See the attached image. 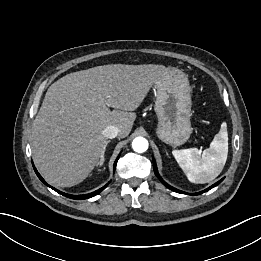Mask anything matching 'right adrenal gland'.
<instances>
[{
    "instance_id": "obj_1",
    "label": "right adrenal gland",
    "mask_w": 261,
    "mask_h": 261,
    "mask_svg": "<svg viewBox=\"0 0 261 261\" xmlns=\"http://www.w3.org/2000/svg\"><path fill=\"white\" fill-rule=\"evenodd\" d=\"M109 142H110V141H109ZM103 162H104V156H102V158H101V160H100V162H99V166H102Z\"/></svg>"
}]
</instances>
